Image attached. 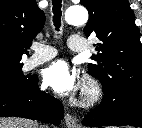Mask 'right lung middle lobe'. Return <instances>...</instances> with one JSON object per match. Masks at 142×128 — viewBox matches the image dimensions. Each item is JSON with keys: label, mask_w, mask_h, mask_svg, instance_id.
<instances>
[{"label": "right lung middle lobe", "mask_w": 142, "mask_h": 128, "mask_svg": "<svg viewBox=\"0 0 142 128\" xmlns=\"http://www.w3.org/2000/svg\"><path fill=\"white\" fill-rule=\"evenodd\" d=\"M22 66H0V94L19 92L33 83L35 77L24 75Z\"/></svg>", "instance_id": "dd1d6c3e"}]
</instances>
